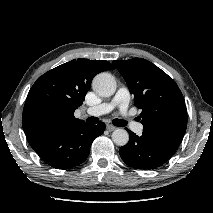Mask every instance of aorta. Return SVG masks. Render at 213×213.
Instances as JSON below:
<instances>
[{
    "instance_id": "1",
    "label": "aorta",
    "mask_w": 213,
    "mask_h": 213,
    "mask_svg": "<svg viewBox=\"0 0 213 213\" xmlns=\"http://www.w3.org/2000/svg\"><path fill=\"white\" fill-rule=\"evenodd\" d=\"M94 91L102 97H109L115 93L116 81L109 73H100L92 83ZM112 140L118 146H124L129 141V134L125 129L118 128L112 133Z\"/></svg>"
}]
</instances>
